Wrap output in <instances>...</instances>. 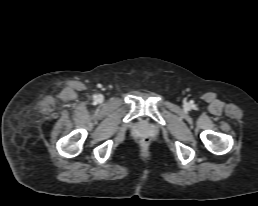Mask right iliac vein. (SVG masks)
I'll use <instances>...</instances> for the list:
<instances>
[{"label": "right iliac vein", "instance_id": "obj_1", "mask_svg": "<svg viewBox=\"0 0 258 206\" xmlns=\"http://www.w3.org/2000/svg\"><path fill=\"white\" fill-rule=\"evenodd\" d=\"M101 99H102V97H101V96H99V97H98V100H101Z\"/></svg>", "mask_w": 258, "mask_h": 206}]
</instances>
